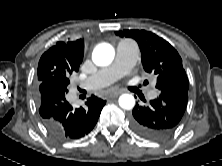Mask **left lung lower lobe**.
Here are the masks:
<instances>
[{
    "label": "left lung lower lobe",
    "instance_id": "0a47b994",
    "mask_svg": "<svg viewBox=\"0 0 222 166\" xmlns=\"http://www.w3.org/2000/svg\"><path fill=\"white\" fill-rule=\"evenodd\" d=\"M159 98L148 106L136 104L130 119L135 133L149 140L168 138L176 129L185 112L188 89L181 86L162 88Z\"/></svg>",
    "mask_w": 222,
    "mask_h": 166
}]
</instances>
